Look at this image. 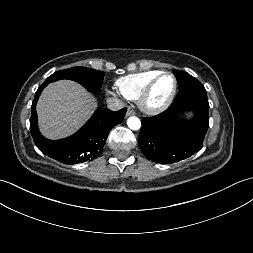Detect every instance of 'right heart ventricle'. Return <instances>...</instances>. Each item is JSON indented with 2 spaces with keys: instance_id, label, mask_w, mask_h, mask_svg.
<instances>
[{
  "instance_id": "e07e8e85",
  "label": "right heart ventricle",
  "mask_w": 253,
  "mask_h": 253,
  "mask_svg": "<svg viewBox=\"0 0 253 253\" xmlns=\"http://www.w3.org/2000/svg\"><path fill=\"white\" fill-rule=\"evenodd\" d=\"M160 71L152 70L140 73L129 74L116 80V87L121 95L129 100H137L146 85Z\"/></svg>"
}]
</instances>
